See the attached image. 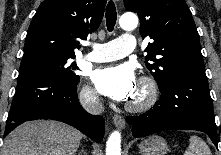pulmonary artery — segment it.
I'll return each instance as SVG.
<instances>
[{"mask_svg":"<svg viewBox=\"0 0 221 155\" xmlns=\"http://www.w3.org/2000/svg\"><path fill=\"white\" fill-rule=\"evenodd\" d=\"M135 46V37L132 34L125 33L107 43L94 44L93 51L86 56V59L92 62L117 60L131 53Z\"/></svg>","mask_w":221,"mask_h":155,"instance_id":"e3ab8cb5","label":"pulmonary artery"}]
</instances>
